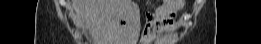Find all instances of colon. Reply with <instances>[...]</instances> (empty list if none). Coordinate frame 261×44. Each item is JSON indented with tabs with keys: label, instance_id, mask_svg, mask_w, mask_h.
Listing matches in <instances>:
<instances>
[{
	"label": "colon",
	"instance_id": "1",
	"mask_svg": "<svg viewBox=\"0 0 261 44\" xmlns=\"http://www.w3.org/2000/svg\"><path fill=\"white\" fill-rule=\"evenodd\" d=\"M164 4H170V6H181L182 2L181 1L168 0V1H165Z\"/></svg>",
	"mask_w": 261,
	"mask_h": 44
}]
</instances>
